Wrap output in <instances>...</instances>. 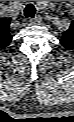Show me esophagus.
I'll return each instance as SVG.
<instances>
[{
    "label": "esophagus",
    "instance_id": "obj_1",
    "mask_svg": "<svg viewBox=\"0 0 74 122\" xmlns=\"http://www.w3.org/2000/svg\"><path fill=\"white\" fill-rule=\"evenodd\" d=\"M41 17L39 15L35 16L34 18L30 19L31 24H40Z\"/></svg>",
    "mask_w": 74,
    "mask_h": 122
}]
</instances>
